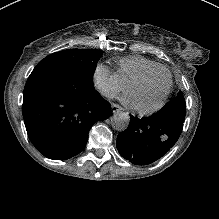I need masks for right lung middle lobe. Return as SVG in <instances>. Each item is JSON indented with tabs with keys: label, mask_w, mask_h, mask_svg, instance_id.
Instances as JSON below:
<instances>
[{
	"label": "right lung middle lobe",
	"mask_w": 219,
	"mask_h": 219,
	"mask_svg": "<svg viewBox=\"0 0 219 219\" xmlns=\"http://www.w3.org/2000/svg\"><path fill=\"white\" fill-rule=\"evenodd\" d=\"M102 56V50H64L45 57L34 68L33 72L40 71L54 64H69L77 68L84 76L92 79V71Z\"/></svg>",
	"instance_id": "obj_1"
}]
</instances>
